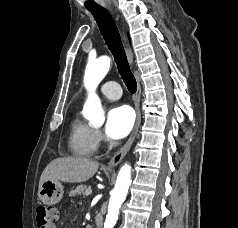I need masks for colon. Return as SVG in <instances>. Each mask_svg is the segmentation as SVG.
Listing matches in <instances>:
<instances>
[{
    "instance_id": "obj_1",
    "label": "colon",
    "mask_w": 238,
    "mask_h": 228,
    "mask_svg": "<svg viewBox=\"0 0 238 228\" xmlns=\"http://www.w3.org/2000/svg\"><path fill=\"white\" fill-rule=\"evenodd\" d=\"M58 216L57 209L53 206H39L36 214L38 228H51Z\"/></svg>"
}]
</instances>
